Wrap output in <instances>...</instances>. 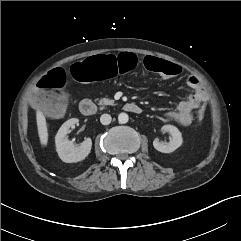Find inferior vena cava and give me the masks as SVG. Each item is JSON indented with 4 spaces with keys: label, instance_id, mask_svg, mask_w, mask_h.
I'll use <instances>...</instances> for the list:
<instances>
[{
    "label": "inferior vena cava",
    "instance_id": "602c4592",
    "mask_svg": "<svg viewBox=\"0 0 241 241\" xmlns=\"http://www.w3.org/2000/svg\"><path fill=\"white\" fill-rule=\"evenodd\" d=\"M111 116L109 114H103L101 115L100 117V122L103 124V125H109L111 123Z\"/></svg>",
    "mask_w": 241,
    "mask_h": 241
}]
</instances>
